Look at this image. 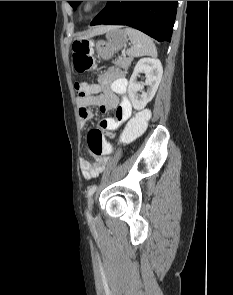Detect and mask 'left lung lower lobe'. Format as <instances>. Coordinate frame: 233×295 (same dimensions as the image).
I'll return each instance as SVG.
<instances>
[{"mask_svg": "<svg viewBox=\"0 0 233 295\" xmlns=\"http://www.w3.org/2000/svg\"><path fill=\"white\" fill-rule=\"evenodd\" d=\"M176 11L177 1H108L90 25H127L170 42Z\"/></svg>", "mask_w": 233, "mask_h": 295, "instance_id": "0a47b994", "label": "left lung lower lobe"}]
</instances>
